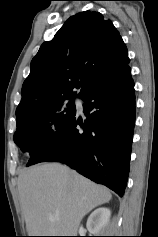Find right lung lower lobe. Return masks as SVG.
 I'll return each instance as SVG.
<instances>
[{
    "label": "right lung lower lobe",
    "instance_id": "obj_1",
    "mask_svg": "<svg viewBox=\"0 0 158 237\" xmlns=\"http://www.w3.org/2000/svg\"><path fill=\"white\" fill-rule=\"evenodd\" d=\"M82 100L86 102L84 123L75 114L41 145L27 166L62 162L122 196L129 174L135 123L130 67L125 66L94 86ZM78 125L82 129H77Z\"/></svg>",
    "mask_w": 158,
    "mask_h": 237
}]
</instances>
